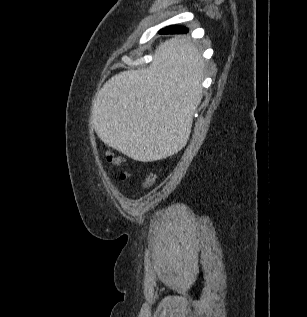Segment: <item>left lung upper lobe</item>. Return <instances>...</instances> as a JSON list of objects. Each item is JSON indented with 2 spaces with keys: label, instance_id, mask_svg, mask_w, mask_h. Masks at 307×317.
<instances>
[{
  "label": "left lung upper lobe",
  "instance_id": "obj_1",
  "mask_svg": "<svg viewBox=\"0 0 307 317\" xmlns=\"http://www.w3.org/2000/svg\"><path fill=\"white\" fill-rule=\"evenodd\" d=\"M172 27H178L177 25H172Z\"/></svg>",
  "mask_w": 307,
  "mask_h": 317
}]
</instances>
